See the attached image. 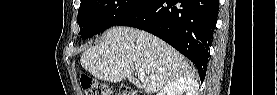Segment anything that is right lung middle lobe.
Returning <instances> with one entry per match:
<instances>
[{"label": "right lung middle lobe", "mask_w": 277, "mask_h": 95, "mask_svg": "<svg viewBox=\"0 0 277 95\" xmlns=\"http://www.w3.org/2000/svg\"><path fill=\"white\" fill-rule=\"evenodd\" d=\"M143 0H82L77 21L79 34L87 39L125 18Z\"/></svg>", "instance_id": "right-lung-middle-lobe-1"}]
</instances>
